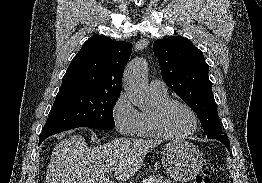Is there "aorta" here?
I'll list each match as a JSON object with an SVG mask.
<instances>
[{
    "instance_id": "762f6f07",
    "label": "aorta",
    "mask_w": 262,
    "mask_h": 183,
    "mask_svg": "<svg viewBox=\"0 0 262 183\" xmlns=\"http://www.w3.org/2000/svg\"><path fill=\"white\" fill-rule=\"evenodd\" d=\"M146 70V62L143 59H135L126 66L123 76V87L129 100L141 110L149 107Z\"/></svg>"
}]
</instances>
